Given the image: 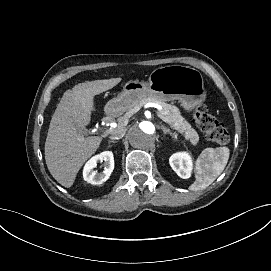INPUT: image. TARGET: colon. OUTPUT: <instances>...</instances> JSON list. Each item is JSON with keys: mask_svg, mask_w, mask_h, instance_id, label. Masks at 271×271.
<instances>
[{"mask_svg": "<svg viewBox=\"0 0 271 271\" xmlns=\"http://www.w3.org/2000/svg\"><path fill=\"white\" fill-rule=\"evenodd\" d=\"M193 118L209 141L221 145L229 142L230 137L227 128L208 112L205 104H200L194 109Z\"/></svg>", "mask_w": 271, "mask_h": 271, "instance_id": "5ec220e1", "label": "colon"}]
</instances>
